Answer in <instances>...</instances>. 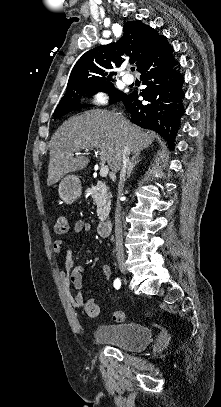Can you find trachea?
Instances as JSON below:
<instances>
[{"mask_svg":"<svg viewBox=\"0 0 221 407\" xmlns=\"http://www.w3.org/2000/svg\"><path fill=\"white\" fill-rule=\"evenodd\" d=\"M131 70L134 71V70H135V67H132Z\"/></svg>","mask_w":221,"mask_h":407,"instance_id":"obj_1","label":"trachea"}]
</instances>
